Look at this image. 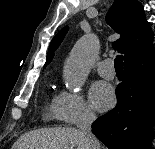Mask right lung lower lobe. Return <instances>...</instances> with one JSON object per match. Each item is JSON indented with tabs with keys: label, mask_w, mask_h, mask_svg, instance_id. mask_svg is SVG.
Listing matches in <instances>:
<instances>
[{
	"label": "right lung lower lobe",
	"mask_w": 155,
	"mask_h": 149,
	"mask_svg": "<svg viewBox=\"0 0 155 149\" xmlns=\"http://www.w3.org/2000/svg\"><path fill=\"white\" fill-rule=\"evenodd\" d=\"M124 68L117 106L93 122L92 132L109 149H149L155 123V56Z\"/></svg>",
	"instance_id": "1"
}]
</instances>
